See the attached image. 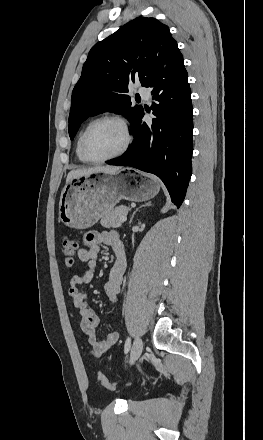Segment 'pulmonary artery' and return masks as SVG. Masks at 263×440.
I'll use <instances>...</instances> for the list:
<instances>
[{
    "label": "pulmonary artery",
    "instance_id": "e3ab8cb5",
    "mask_svg": "<svg viewBox=\"0 0 263 440\" xmlns=\"http://www.w3.org/2000/svg\"><path fill=\"white\" fill-rule=\"evenodd\" d=\"M139 94L141 95V97H143L146 100L150 98L149 89L146 87L139 88Z\"/></svg>",
    "mask_w": 263,
    "mask_h": 440
}]
</instances>
